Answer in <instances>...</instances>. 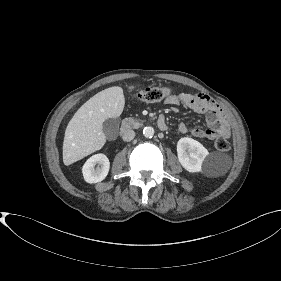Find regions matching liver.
<instances>
[{
    "mask_svg": "<svg viewBox=\"0 0 281 281\" xmlns=\"http://www.w3.org/2000/svg\"><path fill=\"white\" fill-rule=\"evenodd\" d=\"M128 88L134 89L135 86ZM124 105L123 89L114 86L98 92L77 110L65 130L63 162L66 166L104 146L106 136L103 123L107 119L119 117Z\"/></svg>",
    "mask_w": 281,
    "mask_h": 281,
    "instance_id": "obj_1",
    "label": "liver"
}]
</instances>
